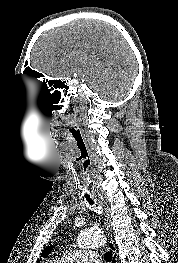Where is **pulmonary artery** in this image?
I'll return each instance as SVG.
<instances>
[{"label": "pulmonary artery", "mask_w": 178, "mask_h": 263, "mask_svg": "<svg viewBox=\"0 0 178 263\" xmlns=\"http://www.w3.org/2000/svg\"><path fill=\"white\" fill-rule=\"evenodd\" d=\"M60 263H100V256L92 250L66 251L57 259Z\"/></svg>", "instance_id": "e3ab8cb5"}]
</instances>
